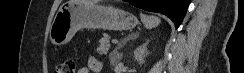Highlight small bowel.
Here are the masks:
<instances>
[{"label": "small bowel", "mask_w": 244, "mask_h": 73, "mask_svg": "<svg viewBox=\"0 0 244 73\" xmlns=\"http://www.w3.org/2000/svg\"><path fill=\"white\" fill-rule=\"evenodd\" d=\"M103 69V63L97 58H90L88 64L85 67L79 69L78 73H101Z\"/></svg>", "instance_id": "1"}]
</instances>
